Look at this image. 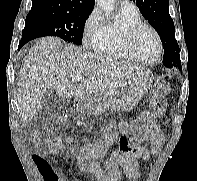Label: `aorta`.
<instances>
[{
    "instance_id": "obj_1",
    "label": "aorta",
    "mask_w": 197,
    "mask_h": 181,
    "mask_svg": "<svg viewBox=\"0 0 197 181\" xmlns=\"http://www.w3.org/2000/svg\"><path fill=\"white\" fill-rule=\"evenodd\" d=\"M98 7H100L106 14H111L115 7V0H95Z\"/></svg>"
}]
</instances>
